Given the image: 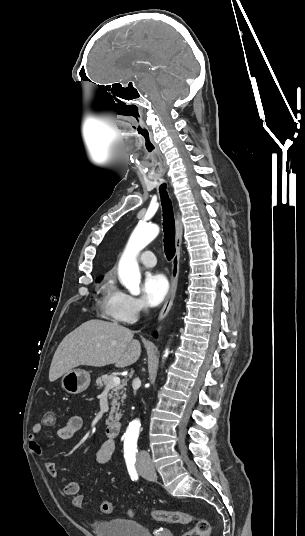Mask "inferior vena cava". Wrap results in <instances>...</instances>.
<instances>
[{
  "label": "inferior vena cava",
  "mask_w": 305,
  "mask_h": 536,
  "mask_svg": "<svg viewBox=\"0 0 305 536\" xmlns=\"http://www.w3.org/2000/svg\"><path fill=\"white\" fill-rule=\"evenodd\" d=\"M140 460H144V458H149L147 452H141L140 456H139Z\"/></svg>",
  "instance_id": "602c4592"
}]
</instances>
